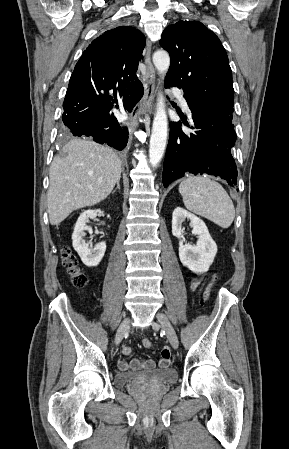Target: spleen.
<instances>
[{"label":"spleen","instance_id":"1","mask_svg":"<svg viewBox=\"0 0 289 449\" xmlns=\"http://www.w3.org/2000/svg\"><path fill=\"white\" fill-rule=\"evenodd\" d=\"M185 207L214 222L229 228L235 218V208L224 188L206 175L189 176L178 188Z\"/></svg>","mask_w":289,"mask_h":449}]
</instances>
